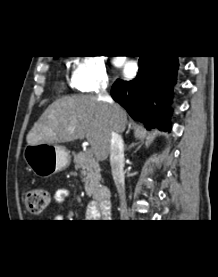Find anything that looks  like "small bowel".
<instances>
[{"instance_id": "small-bowel-1", "label": "small bowel", "mask_w": 218, "mask_h": 277, "mask_svg": "<svg viewBox=\"0 0 218 277\" xmlns=\"http://www.w3.org/2000/svg\"><path fill=\"white\" fill-rule=\"evenodd\" d=\"M69 197H70V192L67 189H59L54 194V201L58 206H62L65 204V202ZM100 216L101 214L97 206L93 203L88 204L87 217L90 219H95Z\"/></svg>"}]
</instances>
